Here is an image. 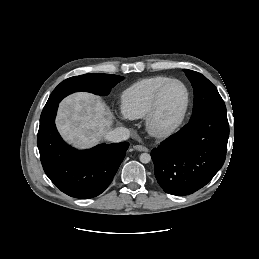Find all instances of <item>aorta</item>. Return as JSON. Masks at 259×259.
<instances>
[{"label":"aorta","mask_w":259,"mask_h":259,"mask_svg":"<svg viewBox=\"0 0 259 259\" xmlns=\"http://www.w3.org/2000/svg\"><path fill=\"white\" fill-rule=\"evenodd\" d=\"M139 159H140V162H142V163H144V164H147V163L150 162L151 156H150V154H148V153H142V154L140 155Z\"/></svg>","instance_id":"762f6f07"}]
</instances>
